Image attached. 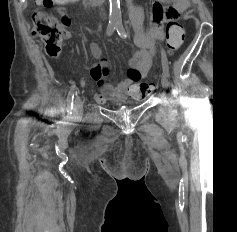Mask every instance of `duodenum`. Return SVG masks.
Segmentation results:
<instances>
[{"label":"duodenum","mask_w":237,"mask_h":232,"mask_svg":"<svg viewBox=\"0 0 237 232\" xmlns=\"http://www.w3.org/2000/svg\"><path fill=\"white\" fill-rule=\"evenodd\" d=\"M83 1L86 5L94 6V5H97L98 3H100V1H102V0H83Z\"/></svg>","instance_id":"obj_1"}]
</instances>
